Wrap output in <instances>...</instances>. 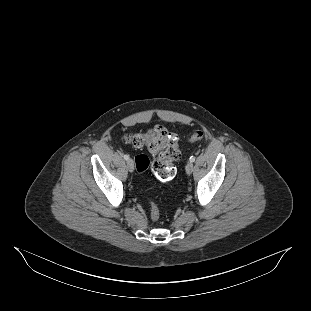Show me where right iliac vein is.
Returning a JSON list of instances; mask_svg holds the SVG:
<instances>
[{
    "instance_id": "obj_1",
    "label": "right iliac vein",
    "mask_w": 311,
    "mask_h": 311,
    "mask_svg": "<svg viewBox=\"0 0 311 311\" xmlns=\"http://www.w3.org/2000/svg\"><path fill=\"white\" fill-rule=\"evenodd\" d=\"M127 168L130 172L134 171V162L132 159L127 160Z\"/></svg>"
}]
</instances>
